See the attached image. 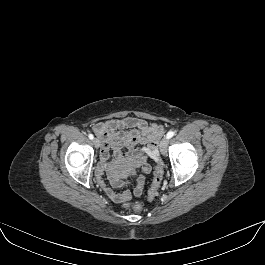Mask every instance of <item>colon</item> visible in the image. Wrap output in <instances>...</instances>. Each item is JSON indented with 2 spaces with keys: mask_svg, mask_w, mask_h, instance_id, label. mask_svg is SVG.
Returning <instances> with one entry per match:
<instances>
[{
  "mask_svg": "<svg viewBox=\"0 0 265 265\" xmlns=\"http://www.w3.org/2000/svg\"><path fill=\"white\" fill-rule=\"evenodd\" d=\"M162 179H163V169H162L160 160L158 159V160H156L153 180H152L151 186L147 192V199L149 201H152L153 199H155V197L158 193V189L161 185ZM125 207H127V208L130 207L135 211H140L143 208V204L139 201H136L133 203H126Z\"/></svg>",
  "mask_w": 265,
  "mask_h": 265,
  "instance_id": "5ec220e1",
  "label": "colon"
}]
</instances>
